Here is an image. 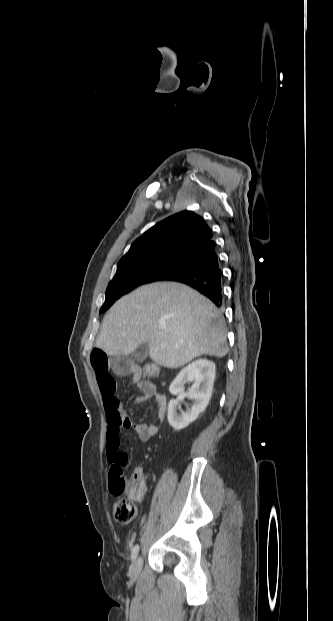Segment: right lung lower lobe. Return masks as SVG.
<instances>
[{"mask_svg":"<svg viewBox=\"0 0 333 621\" xmlns=\"http://www.w3.org/2000/svg\"><path fill=\"white\" fill-rule=\"evenodd\" d=\"M163 280L187 284L208 297L217 307H221L222 272L214 240L186 257L180 266Z\"/></svg>","mask_w":333,"mask_h":621,"instance_id":"right-lung-lower-lobe-1","label":"right lung lower lobe"}]
</instances>
